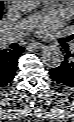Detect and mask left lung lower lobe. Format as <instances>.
<instances>
[{"mask_svg": "<svg viewBox=\"0 0 74 122\" xmlns=\"http://www.w3.org/2000/svg\"><path fill=\"white\" fill-rule=\"evenodd\" d=\"M64 48L66 51L64 61L60 66L52 68L49 73L57 84L74 88V48L69 50L67 45H64Z\"/></svg>", "mask_w": 74, "mask_h": 122, "instance_id": "0a47b994", "label": "left lung lower lobe"}]
</instances>
